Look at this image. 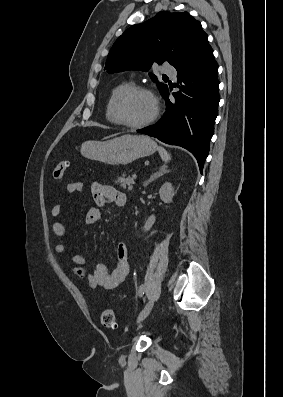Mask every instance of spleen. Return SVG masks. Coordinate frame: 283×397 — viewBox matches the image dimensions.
I'll use <instances>...</instances> for the list:
<instances>
[{"label":"spleen","mask_w":283,"mask_h":397,"mask_svg":"<svg viewBox=\"0 0 283 397\" xmlns=\"http://www.w3.org/2000/svg\"><path fill=\"white\" fill-rule=\"evenodd\" d=\"M159 154L162 158V160L167 163L168 161L171 160V156L170 154L163 148V147H159L158 148ZM165 167V166H164Z\"/></svg>","instance_id":"obj_1"}]
</instances>
